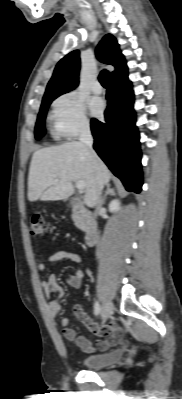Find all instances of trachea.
I'll return each mask as SVG.
<instances>
[{
	"instance_id": "obj_1",
	"label": "trachea",
	"mask_w": 182,
	"mask_h": 399,
	"mask_svg": "<svg viewBox=\"0 0 182 399\" xmlns=\"http://www.w3.org/2000/svg\"><path fill=\"white\" fill-rule=\"evenodd\" d=\"M99 81L102 86L107 87L109 83V73L107 70H102L99 75Z\"/></svg>"
}]
</instances>
